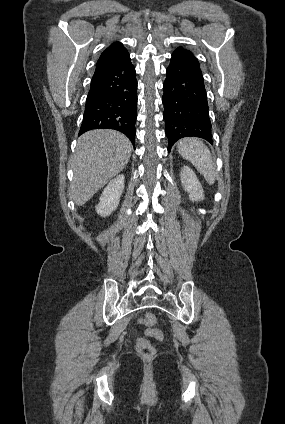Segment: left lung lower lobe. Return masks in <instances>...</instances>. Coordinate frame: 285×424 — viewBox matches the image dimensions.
I'll list each match as a JSON object with an SVG mask.
<instances>
[{"mask_svg":"<svg viewBox=\"0 0 285 424\" xmlns=\"http://www.w3.org/2000/svg\"><path fill=\"white\" fill-rule=\"evenodd\" d=\"M163 89L168 151L177 140L188 136L212 143L204 80L199 62L191 51L178 47L172 53Z\"/></svg>","mask_w":285,"mask_h":424,"instance_id":"obj_1","label":"left lung lower lobe"}]
</instances>
